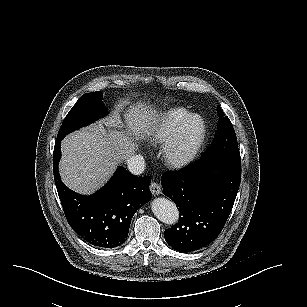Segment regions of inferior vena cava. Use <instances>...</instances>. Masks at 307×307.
<instances>
[{
    "label": "inferior vena cava",
    "instance_id": "inferior-vena-cava-1",
    "mask_svg": "<svg viewBox=\"0 0 307 307\" xmlns=\"http://www.w3.org/2000/svg\"><path fill=\"white\" fill-rule=\"evenodd\" d=\"M128 170L133 175H140L145 170V159L141 154H133L127 159Z\"/></svg>",
    "mask_w": 307,
    "mask_h": 307
}]
</instances>
